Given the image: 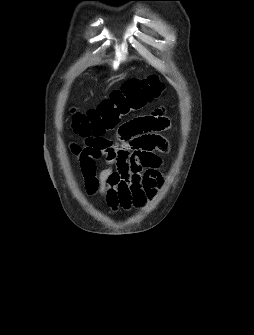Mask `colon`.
<instances>
[{"mask_svg": "<svg viewBox=\"0 0 254 335\" xmlns=\"http://www.w3.org/2000/svg\"><path fill=\"white\" fill-rule=\"evenodd\" d=\"M164 86L158 77L151 75L146 79L127 81L121 89L113 91L95 109L74 112L75 132L84 139L89 148H103L109 142L103 136L114 131L123 118L142 110L148 102L157 98Z\"/></svg>", "mask_w": 254, "mask_h": 335, "instance_id": "5ec220e1", "label": "colon"}]
</instances>
